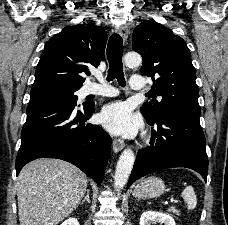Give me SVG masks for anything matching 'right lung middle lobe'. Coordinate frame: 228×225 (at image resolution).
Listing matches in <instances>:
<instances>
[{
    "mask_svg": "<svg viewBox=\"0 0 228 225\" xmlns=\"http://www.w3.org/2000/svg\"><path fill=\"white\" fill-rule=\"evenodd\" d=\"M77 90H79V88L58 83L33 86L31 89L29 105L52 100H65L76 104L78 97L74 94V92Z\"/></svg>",
    "mask_w": 228,
    "mask_h": 225,
    "instance_id": "right-lung-middle-lobe-1",
    "label": "right lung middle lobe"
}]
</instances>
